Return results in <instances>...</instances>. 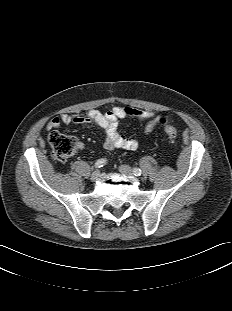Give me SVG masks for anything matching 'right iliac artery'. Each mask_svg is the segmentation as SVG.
Instances as JSON below:
<instances>
[{"label": "right iliac artery", "instance_id": "right-iliac-artery-1", "mask_svg": "<svg viewBox=\"0 0 232 311\" xmlns=\"http://www.w3.org/2000/svg\"><path fill=\"white\" fill-rule=\"evenodd\" d=\"M107 163L106 159H99L95 163V168H101Z\"/></svg>", "mask_w": 232, "mask_h": 311}]
</instances>
